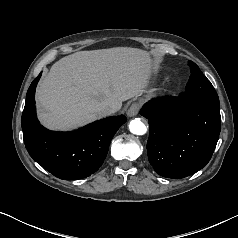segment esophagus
Instances as JSON below:
<instances>
[{"label":"esophagus","instance_id":"34e87169","mask_svg":"<svg viewBox=\"0 0 238 238\" xmlns=\"http://www.w3.org/2000/svg\"><path fill=\"white\" fill-rule=\"evenodd\" d=\"M139 109H140V104L139 103H133L127 111L128 117L136 116L139 112Z\"/></svg>","mask_w":238,"mask_h":238}]
</instances>
